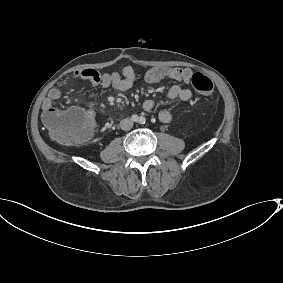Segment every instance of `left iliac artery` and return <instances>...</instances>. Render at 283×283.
Instances as JSON below:
<instances>
[{
    "mask_svg": "<svg viewBox=\"0 0 283 283\" xmlns=\"http://www.w3.org/2000/svg\"><path fill=\"white\" fill-rule=\"evenodd\" d=\"M139 121H140V123H144L145 119L144 118H140Z\"/></svg>",
    "mask_w": 283,
    "mask_h": 283,
    "instance_id": "44dca946",
    "label": "left iliac artery"
}]
</instances>
